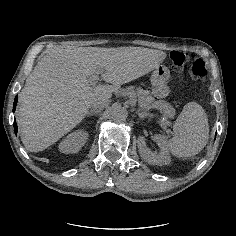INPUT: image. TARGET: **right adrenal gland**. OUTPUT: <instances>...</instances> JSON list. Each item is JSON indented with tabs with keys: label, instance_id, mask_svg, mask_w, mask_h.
<instances>
[{
	"label": "right adrenal gland",
	"instance_id": "right-adrenal-gland-1",
	"mask_svg": "<svg viewBox=\"0 0 236 236\" xmlns=\"http://www.w3.org/2000/svg\"><path fill=\"white\" fill-rule=\"evenodd\" d=\"M100 112V110L98 109V110H95V109H92L91 111H89L88 113H87V117H89V116H91V114H98Z\"/></svg>",
	"mask_w": 236,
	"mask_h": 236
}]
</instances>
